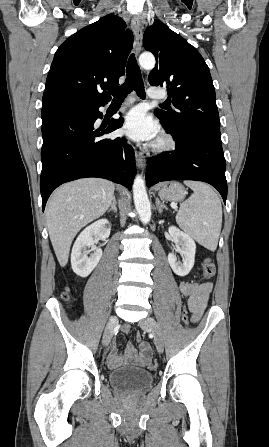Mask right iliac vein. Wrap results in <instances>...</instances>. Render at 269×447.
Masks as SVG:
<instances>
[{"instance_id": "63e3f726", "label": "right iliac vein", "mask_w": 269, "mask_h": 447, "mask_svg": "<svg viewBox=\"0 0 269 447\" xmlns=\"http://www.w3.org/2000/svg\"><path fill=\"white\" fill-rule=\"evenodd\" d=\"M117 323H118V318H116V317H112L109 320V322H108V324H107V326L105 328L104 335H103V343H104V345H108L109 344V342H110V340L112 338L114 326Z\"/></svg>"}]
</instances>
